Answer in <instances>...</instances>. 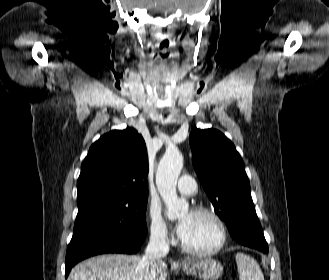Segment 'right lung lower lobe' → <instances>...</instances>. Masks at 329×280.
I'll use <instances>...</instances> for the list:
<instances>
[{"mask_svg":"<svg viewBox=\"0 0 329 280\" xmlns=\"http://www.w3.org/2000/svg\"><path fill=\"white\" fill-rule=\"evenodd\" d=\"M142 242H130L109 235L86 238L71 248H67L65 277L67 278L75 264L85 258L103 253L134 254L140 249Z\"/></svg>","mask_w":329,"mask_h":280,"instance_id":"98d812e1","label":"right lung lower lobe"}]
</instances>
